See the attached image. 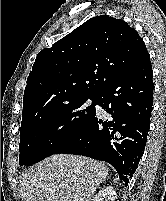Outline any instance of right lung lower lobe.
Returning a JSON list of instances; mask_svg holds the SVG:
<instances>
[{
    "mask_svg": "<svg viewBox=\"0 0 166 201\" xmlns=\"http://www.w3.org/2000/svg\"><path fill=\"white\" fill-rule=\"evenodd\" d=\"M152 77L150 56L146 53L96 95V104L106 115L100 117L95 111L54 154L82 155L106 161L127 185L146 146L153 110Z\"/></svg>",
    "mask_w": 166,
    "mask_h": 201,
    "instance_id": "right-lung-lower-lobe-1",
    "label": "right lung lower lobe"
}]
</instances>
